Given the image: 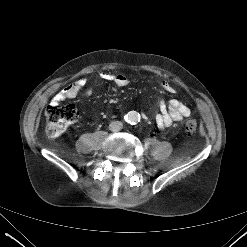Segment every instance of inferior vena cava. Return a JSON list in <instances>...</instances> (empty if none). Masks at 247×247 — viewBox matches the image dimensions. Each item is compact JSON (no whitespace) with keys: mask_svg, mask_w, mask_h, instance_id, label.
<instances>
[{"mask_svg":"<svg viewBox=\"0 0 247 247\" xmlns=\"http://www.w3.org/2000/svg\"><path fill=\"white\" fill-rule=\"evenodd\" d=\"M122 122L120 121H113L110 123L109 128L112 132H117L122 129Z\"/></svg>","mask_w":247,"mask_h":247,"instance_id":"1","label":"inferior vena cava"}]
</instances>
